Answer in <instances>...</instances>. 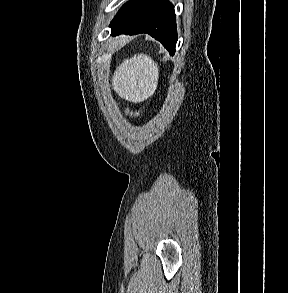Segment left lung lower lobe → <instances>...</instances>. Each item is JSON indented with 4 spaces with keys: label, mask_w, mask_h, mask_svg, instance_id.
<instances>
[{
    "label": "left lung lower lobe",
    "mask_w": 288,
    "mask_h": 293,
    "mask_svg": "<svg viewBox=\"0 0 288 293\" xmlns=\"http://www.w3.org/2000/svg\"><path fill=\"white\" fill-rule=\"evenodd\" d=\"M113 36L148 33L175 53L177 42L174 6L169 0H130L110 23Z\"/></svg>",
    "instance_id": "obj_1"
}]
</instances>
